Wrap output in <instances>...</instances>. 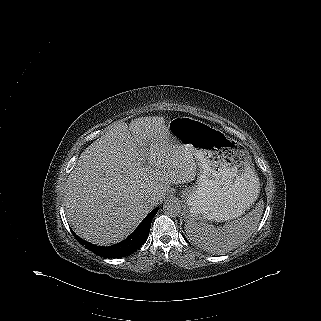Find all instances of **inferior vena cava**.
Segmentation results:
<instances>
[{"mask_svg": "<svg viewBox=\"0 0 321 321\" xmlns=\"http://www.w3.org/2000/svg\"><path fill=\"white\" fill-rule=\"evenodd\" d=\"M154 201H155V198L151 197V198L148 199L147 202H148L149 204H154Z\"/></svg>", "mask_w": 321, "mask_h": 321, "instance_id": "602c4592", "label": "inferior vena cava"}]
</instances>
